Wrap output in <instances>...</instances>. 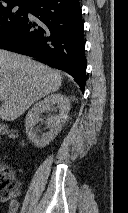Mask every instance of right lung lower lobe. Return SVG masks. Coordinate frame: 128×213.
Listing matches in <instances>:
<instances>
[{
    "label": "right lung lower lobe",
    "mask_w": 128,
    "mask_h": 213,
    "mask_svg": "<svg viewBox=\"0 0 128 213\" xmlns=\"http://www.w3.org/2000/svg\"><path fill=\"white\" fill-rule=\"evenodd\" d=\"M27 19L0 41V48L48 62L74 77L84 91L86 58L79 0H36Z\"/></svg>",
    "instance_id": "1"
}]
</instances>
